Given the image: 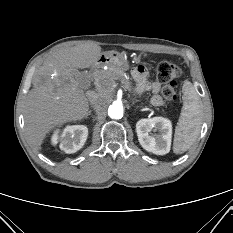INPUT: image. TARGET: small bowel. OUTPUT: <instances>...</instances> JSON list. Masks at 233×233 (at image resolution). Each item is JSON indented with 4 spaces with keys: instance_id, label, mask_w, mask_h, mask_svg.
<instances>
[{
    "instance_id": "obj_1",
    "label": "small bowel",
    "mask_w": 233,
    "mask_h": 233,
    "mask_svg": "<svg viewBox=\"0 0 233 233\" xmlns=\"http://www.w3.org/2000/svg\"><path fill=\"white\" fill-rule=\"evenodd\" d=\"M132 76L137 83L138 92L151 91V102L153 105L160 106L163 104V100L159 94L161 84L157 81H148V70L144 66H137L132 70Z\"/></svg>"
}]
</instances>
